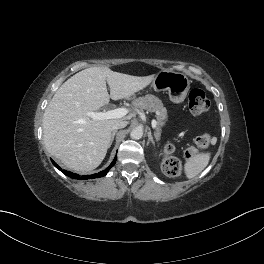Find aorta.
Returning <instances> with one entry per match:
<instances>
[{
	"instance_id": "762f6f07",
	"label": "aorta",
	"mask_w": 264,
	"mask_h": 264,
	"mask_svg": "<svg viewBox=\"0 0 264 264\" xmlns=\"http://www.w3.org/2000/svg\"><path fill=\"white\" fill-rule=\"evenodd\" d=\"M142 136H143V130L139 127L134 128L130 133V137L135 140L141 139Z\"/></svg>"
}]
</instances>
